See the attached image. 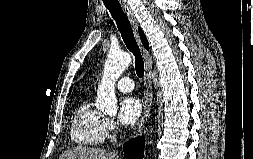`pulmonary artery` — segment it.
Here are the masks:
<instances>
[{
	"label": "pulmonary artery",
	"instance_id": "obj_1",
	"mask_svg": "<svg viewBox=\"0 0 253 159\" xmlns=\"http://www.w3.org/2000/svg\"><path fill=\"white\" fill-rule=\"evenodd\" d=\"M117 88L121 92H130L134 89V82L129 77H122L117 82Z\"/></svg>",
	"mask_w": 253,
	"mask_h": 159
}]
</instances>
